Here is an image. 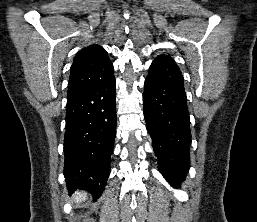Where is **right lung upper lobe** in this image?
<instances>
[{
  "label": "right lung upper lobe",
  "mask_w": 257,
  "mask_h": 222,
  "mask_svg": "<svg viewBox=\"0 0 257 222\" xmlns=\"http://www.w3.org/2000/svg\"><path fill=\"white\" fill-rule=\"evenodd\" d=\"M113 71V64L101 46L94 44L81 49L70 69L67 96H73L97 85Z\"/></svg>",
  "instance_id": "right-lung-upper-lobe-1"
}]
</instances>
